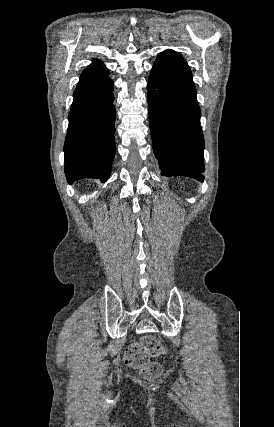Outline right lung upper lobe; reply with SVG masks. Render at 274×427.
Masks as SVG:
<instances>
[{
  "instance_id": "obj_1",
  "label": "right lung upper lobe",
  "mask_w": 274,
  "mask_h": 427,
  "mask_svg": "<svg viewBox=\"0 0 274 427\" xmlns=\"http://www.w3.org/2000/svg\"><path fill=\"white\" fill-rule=\"evenodd\" d=\"M96 62H98L97 60H94L93 61V64H91L90 66H88V67H91V66H95V64H96ZM101 63L100 62H98V64L97 65H100Z\"/></svg>"
}]
</instances>
